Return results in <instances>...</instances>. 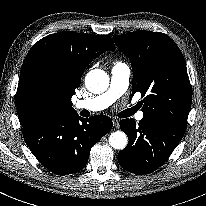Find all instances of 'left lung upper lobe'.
Returning a JSON list of instances; mask_svg holds the SVG:
<instances>
[{
    "instance_id": "obj_1",
    "label": "left lung upper lobe",
    "mask_w": 206,
    "mask_h": 206,
    "mask_svg": "<svg viewBox=\"0 0 206 206\" xmlns=\"http://www.w3.org/2000/svg\"><path fill=\"white\" fill-rule=\"evenodd\" d=\"M130 58L133 92H140L144 117L187 124L191 85L176 43L160 32L136 31L113 37Z\"/></svg>"
}]
</instances>
